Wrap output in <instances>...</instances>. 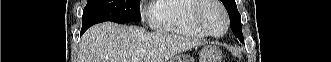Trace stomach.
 <instances>
[{
	"instance_id": "1",
	"label": "stomach",
	"mask_w": 331,
	"mask_h": 62,
	"mask_svg": "<svg viewBox=\"0 0 331 62\" xmlns=\"http://www.w3.org/2000/svg\"><path fill=\"white\" fill-rule=\"evenodd\" d=\"M222 52L219 48L208 45L204 46L200 51V62H222ZM169 62H195L192 58L185 55H177Z\"/></svg>"
}]
</instances>
